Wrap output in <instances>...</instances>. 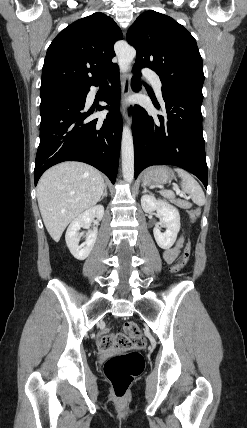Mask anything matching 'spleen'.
Instances as JSON below:
<instances>
[{
    "label": "spleen",
    "instance_id": "1",
    "mask_svg": "<svg viewBox=\"0 0 247 428\" xmlns=\"http://www.w3.org/2000/svg\"><path fill=\"white\" fill-rule=\"evenodd\" d=\"M179 176L182 178L181 186L184 193L189 194L192 201L198 205L203 206L205 204V195L199 185V183L185 170L175 169ZM162 195L167 198H174L175 195L171 191H162Z\"/></svg>",
    "mask_w": 247,
    "mask_h": 428
}]
</instances>
